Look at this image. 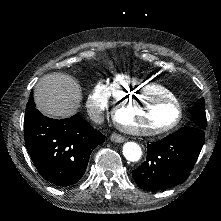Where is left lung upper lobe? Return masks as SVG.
Segmentation results:
<instances>
[{"label": "left lung upper lobe", "instance_id": "5c2ea615", "mask_svg": "<svg viewBox=\"0 0 221 221\" xmlns=\"http://www.w3.org/2000/svg\"><path fill=\"white\" fill-rule=\"evenodd\" d=\"M205 100L199 99L190 109L195 124L200 128H206Z\"/></svg>", "mask_w": 221, "mask_h": 221}]
</instances>
